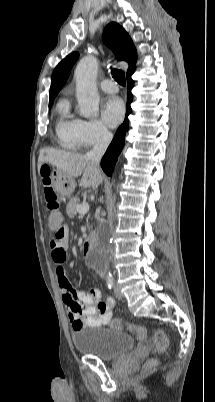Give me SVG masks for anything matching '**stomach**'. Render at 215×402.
Segmentation results:
<instances>
[{"label": "stomach", "instance_id": "stomach-1", "mask_svg": "<svg viewBox=\"0 0 215 402\" xmlns=\"http://www.w3.org/2000/svg\"><path fill=\"white\" fill-rule=\"evenodd\" d=\"M50 181L54 190L63 197H70L76 186L75 179L59 169L51 172Z\"/></svg>", "mask_w": 215, "mask_h": 402}]
</instances>
